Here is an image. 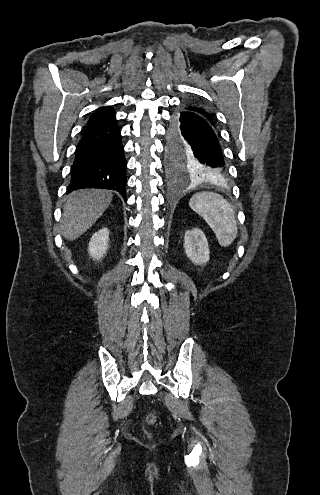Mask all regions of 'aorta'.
Masks as SVG:
<instances>
[{
  "label": "aorta",
  "mask_w": 320,
  "mask_h": 495,
  "mask_svg": "<svg viewBox=\"0 0 320 495\" xmlns=\"http://www.w3.org/2000/svg\"><path fill=\"white\" fill-rule=\"evenodd\" d=\"M182 186H183V183L177 182V187H182Z\"/></svg>",
  "instance_id": "obj_1"
}]
</instances>
